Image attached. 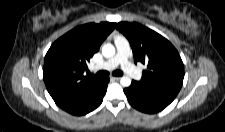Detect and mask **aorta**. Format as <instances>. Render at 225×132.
<instances>
[{"mask_svg":"<svg viewBox=\"0 0 225 132\" xmlns=\"http://www.w3.org/2000/svg\"><path fill=\"white\" fill-rule=\"evenodd\" d=\"M115 52H116L115 47L110 43H107L102 47V55L105 58L113 57L115 55ZM120 84L123 87H129L131 85V78L128 76L121 77Z\"/></svg>","mask_w":225,"mask_h":132,"instance_id":"1","label":"aorta"}]
</instances>
